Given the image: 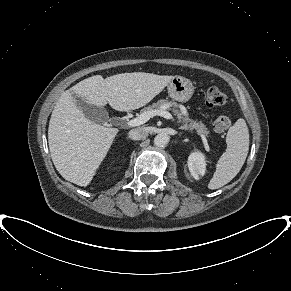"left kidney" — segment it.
I'll return each instance as SVG.
<instances>
[{
    "label": "left kidney",
    "mask_w": 291,
    "mask_h": 291,
    "mask_svg": "<svg viewBox=\"0 0 291 291\" xmlns=\"http://www.w3.org/2000/svg\"><path fill=\"white\" fill-rule=\"evenodd\" d=\"M188 168L191 175L195 179H199L201 176L205 174L206 170V163H205V156L199 152H193L188 157Z\"/></svg>",
    "instance_id": "5707ae66"
}]
</instances>
